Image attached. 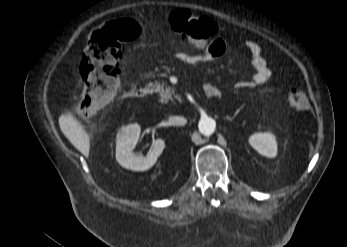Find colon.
I'll list each match as a JSON object with an SVG mask.
<instances>
[{
    "instance_id": "colon-1",
    "label": "colon",
    "mask_w": 347,
    "mask_h": 247,
    "mask_svg": "<svg viewBox=\"0 0 347 247\" xmlns=\"http://www.w3.org/2000/svg\"><path fill=\"white\" fill-rule=\"evenodd\" d=\"M169 23L175 32L195 46L203 45L218 33L214 20L187 10L172 12ZM140 32V24L128 17L110 20L93 32L80 64L83 92L76 109L79 120L92 117L113 101L120 84L124 45L138 37ZM287 101L295 110L302 111L308 107L307 94L298 85L289 88Z\"/></svg>"
}]
</instances>
